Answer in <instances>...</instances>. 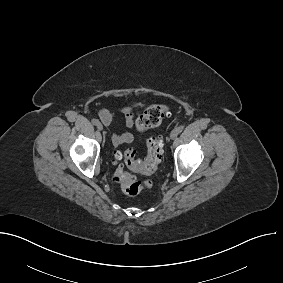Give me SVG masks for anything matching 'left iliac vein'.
<instances>
[{"mask_svg":"<svg viewBox=\"0 0 283 283\" xmlns=\"http://www.w3.org/2000/svg\"><path fill=\"white\" fill-rule=\"evenodd\" d=\"M177 136H178V131H177V129L172 130L171 133H170V138H171L172 140H174Z\"/></svg>","mask_w":283,"mask_h":283,"instance_id":"1","label":"left iliac vein"}]
</instances>
